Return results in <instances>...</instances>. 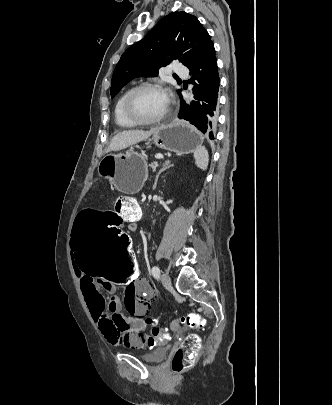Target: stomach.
Returning a JSON list of instances; mask_svg holds the SVG:
<instances>
[{"mask_svg":"<svg viewBox=\"0 0 332 405\" xmlns=\"http://www.w3.org/2000/svg\"><path fill=\"white\" fill-rule=\"evenodd\" d=\"M152 140L157 147L178 154L195 152L203 143L200 132L182 121L160 126ZM98 174L108 179L118 191L134 194L147 178V163L141 154L134 151L108 154L99 163Z\"/></svg>","mask_w":332,"mask_h":405,"instance_id":"1","label":"stomach"}]
</instances>
